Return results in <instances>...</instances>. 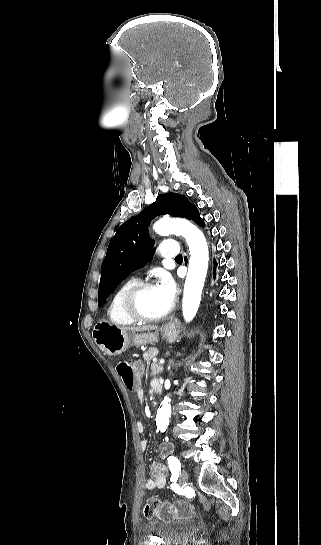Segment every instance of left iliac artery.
I'll list each match as a JSON object with an SVG mask.
<instances>
[{
    "label": "left iliac artery",
    "instance_id": "obj_1",
    "mask_svg": "<svg viewBox=\"0 0 321 545\" xmlns=\"http://www.w3.org/2000/svg\"><path fill=\"white\" fill-rule=\"evenodd\" d=\"M168 465L172 473L171 480L174 481L178 478L180 470H181L180 461L176 457L170 456L168 458Z\"/></svg>",
    "mask_w": 321,
    "mask_h": 545
}]
</instances>
